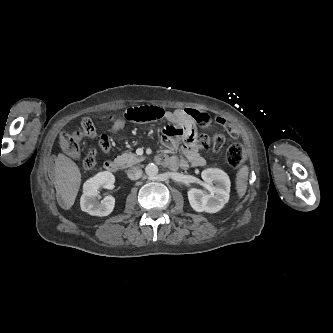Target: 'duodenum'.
<instances>
[{
	"instance_id": "410a0bca",
	"label": "duodenum",
	"mask_w": 333,
	"mask_h": 333,
	"mask_svg": "<svg viewBox=\"0 0 333 333\" xmlns=\"http://www.w3.org/2000/svg\"><path fill=\"white\" fill-rule=\"evenodd\" d=\"M105 169L111 173H115L119 170V164L115 160H108L104 164Z\"/></svg>"
}]
</instances>
